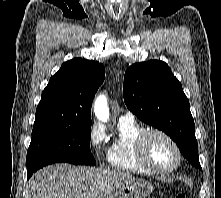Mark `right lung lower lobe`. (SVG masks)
Masks as SVG:
<instances>
[{"mask_svg":"<svg viewBox=\"0 0 221 198\" xmlns=\"http://www.w3.org/2000/svg\"><path fill=\"white\" fill-rule=\"evenodd\" d=\"M31 176H32V174H31V175H30V174H29V175L27 174L28 179H29Z\"/></svg>","mask_w":221,"mask_h":198,"instance_id":"obj_1","label":"right lung lower lobe"}]
</instances>
